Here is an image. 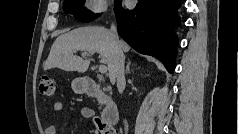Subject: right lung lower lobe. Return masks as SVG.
<instances>
[{"instance_id":"98d812e1","label":"right lung lower lobe","mask_w":239,"mask_h":134,"mask_svg":"<svg viewBox=\"0 0 239 134\" xmlns=\"http://www.w3.org/2000/svg\"><path fill=\"white\" fill-rule=\"evenodd\" d=\"M180 0H138L136 7L125 10L115 5L119 35L136 51L151 55L174 71L177 36L173 29L178 21Z\"/></svg>"}]
</instances>
